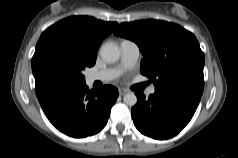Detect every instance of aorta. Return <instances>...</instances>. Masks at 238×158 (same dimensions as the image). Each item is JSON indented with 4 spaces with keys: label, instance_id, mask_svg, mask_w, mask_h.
Masks as SVG:
<instances>
[{
    "label": "aorta",
    "instance_id": "1",
    "mask_svg": "<svg viewBox=\"0 0 238 158\" xmlns=\"http://www.w3.org/2000/svg\"><path fill=\"white\" fill-rule=\"evenodd\" d=\"M100 56L106 63H115L120 58V50L117 45L113 43H106L100 49ZM123 102L127 106H134L137 103V97L135 93L129 92L124 95Z\"/></svg>",
    "mask_w": 238,
    "mask_h": 158
}]
</instances>
